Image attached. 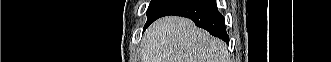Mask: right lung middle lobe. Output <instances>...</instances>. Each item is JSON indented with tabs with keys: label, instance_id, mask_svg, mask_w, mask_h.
<instances>
[{
	"label": "right lung middle lobe",
	"instance_id": "obj_1",
	"mask_svg": "<svg viewBox=\"0 0 331 62\" xmlns=\"http://www.w3.org/2000/svg\"><path fill=\"white\" fill-rule=\"evenodd\" d=\"M175 1L177 0H151L147 10V16H148L147 23L155 19L159 14H161L167 7H169Z\"/></svg>",
	"mask_w": 331,
	"mask_h": 62
}]
</instances>
